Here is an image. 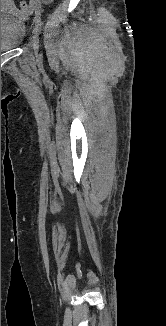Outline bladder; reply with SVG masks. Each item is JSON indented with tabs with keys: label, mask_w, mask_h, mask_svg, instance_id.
I'll return each instance as SVG.
<instances>
[{
	"label": "bladder",
	"mask_w": 166,
	"mask_h": 326,
	"mask_svg": "<svg viewBox=\"0 0 166 326\" xmlns=\"http://www.w3.org/2000/svg\"><path fill=\"white\" fill-rule=\"evenodd\" d=\"M26 26L19 17L1 12V52L17 48L24 40Z\"/></svg>",
	"instance_id": "31cf9c89"
}]
</instances>
